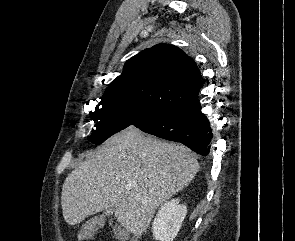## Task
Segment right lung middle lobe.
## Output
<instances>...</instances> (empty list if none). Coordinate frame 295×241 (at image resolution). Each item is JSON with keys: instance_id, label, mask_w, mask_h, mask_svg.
Instances as JSON below:
<instances>
[{"instance_id": "obj_1", "label": "right lung middle lobe", "mask_w": 295, "mask_h": 241, "mask_svg": "<svg viewBox=\"0 0 295 241\" xmlns=\"http://www.w3.org/2000/svg\"><path fill=\"white\" fill-rule=\"evenodd\" d=\"M163 113L164 111L132 101L104 97L96 106L95 111L91 112L92 119L96 121V129L88 140L99 145L113 134L129 126L137 128L144 126L159 118Z\"/></svg>"}]
</instances>
